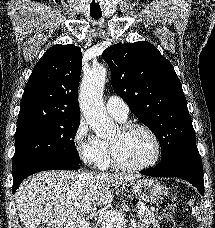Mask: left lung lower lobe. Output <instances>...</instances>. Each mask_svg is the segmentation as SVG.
Listing matches in <instances>:
<instances>
[{
	"label": "left lung lower lobe",
	"mask_w": 215,
	"mask_h": 228,
	"mask_svg": "<svg viewBox=\"0 0 215 228\" xmlns=\"http://www.w3.org/2000/svg\"><path fill=\"white\" fill-rule=\"evenodd\" d=\"M152 177H177L194 185L204 195L203 167L196 144L189 145L163 159L156 167L142 170Z\"/></svg>",
	"instance_id": "0a47b994"
}]
</instances>
